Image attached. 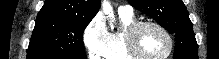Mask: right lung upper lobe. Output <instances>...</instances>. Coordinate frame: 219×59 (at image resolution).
Listing matches in <instances>:
<instances>
[{"instance_id":"cb5924a9","label":"right lung upper lobe","mask_w":219,"mask_h":59,"mask_svg":"<svg viewBox=\"0 0 219 59\" xmlns=\"http://www.w3.org/2000/svg\"><path fill=\"white\" fill-rule=\"evenodd\" d=\"M99 8L100 0H45L38 17L92 20Z\"/></svg>"}]
</instances>
